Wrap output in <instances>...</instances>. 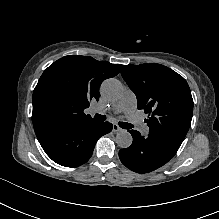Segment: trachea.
<instances>
[{
  "mask_svg": "<svg viewBox=\"0 0 219 219\" xmlns=\"http://www.w3.org/2000/svg\"><path fill=\"white\" fill-rule=\"evenodd\" d=\"M94 118L98 121H105L106 120V116L105 115H100V114H95ZM119 126L121 128H124V129H131L133 128V125L132 124H129V123H126V122H119Z\"/></svg>",
  "mask_w": 219,
  "mask_h": 219,
  "instance_id": "trachea-1",
  "label": "trachea"
}]
</instances>
